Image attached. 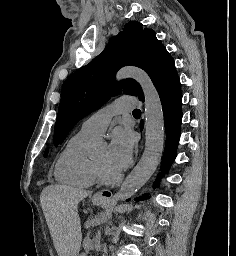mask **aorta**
Returning <instances> with one entry per match:
<instances>
[{
	"instance_id": "obj_1",
	"label": "aorta",
	"mask_w": 236,
	"mask_h": 256,
	"mask_svg": "<svg viewBox=\"0 0 236 256\" xmlns=\"http://www.w3.org/2000/svg\"><path fill=\"white\" fill-rule=\"evenodd\" d=\"M117 80L133 78L140 85L145 99V149L143 155L123 182L116 198L121 201L132 197L155 172L164 149V115L159 94L149 76L141 69H121Z\"/></svg>"
}]
</instances>
